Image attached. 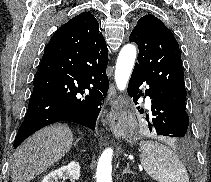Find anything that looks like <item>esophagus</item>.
Here are the masks:
<instances>
[{"label": "esophagus", "mask_w": 211, "mask_h": 182, "mask_svg": "<svg viewBox=\"0 0 211 182\" xmlns=\"http://www.w3.org/2000/svg\"><path fill=\"white\" fill-rule=\"evenodd\" d=\"M107 98L110 101L111 105L114 107H120L124 102V99L122 97L117 96L114 85L110 86Z\"/></svg>", "instance_id": "esophagus-1"}]
</instances>
